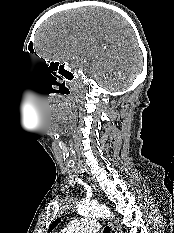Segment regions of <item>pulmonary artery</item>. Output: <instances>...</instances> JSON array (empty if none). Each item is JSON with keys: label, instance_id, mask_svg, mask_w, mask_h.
<instances>
[{"label": "pulmonary artery", "instance_id": "obj_1", "mask_svg": "<svg viewBox=\"0 0 174 233\" xmlns=\"http://www.w3.org/2000/svg\"><path fill=\"white\" fill-rule=\"evenodd\" d=\"M99 225L96 220L81 218L72 221L60 233H96Z\"/></svg>", "mask_w": 174, "mask_h": 233}]
</instances>
